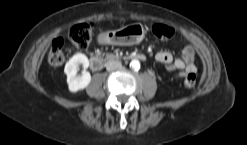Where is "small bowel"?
Returning <instances> with one entry per match:
<instances>
[{"label": "small bowel", "instance_id": "1", "mask_svg": "<svg viewBox=\"0 0 247 145\" xmlns=\"http://www.w3.org/2000/svg\"><path fill=\"white\" fill-rule=\"evenodd\" d=\"M155 60L162 63L170 71L181 70V74L195 73L197 67L195 64V49L192 45H187L180 57H174L170 52L159 51L155 54Z\"/></svg>", "mask_w": 247, "mask_h": 145}]
</instances>
